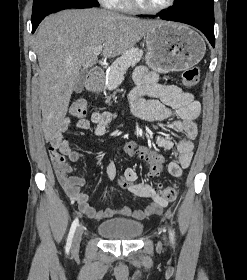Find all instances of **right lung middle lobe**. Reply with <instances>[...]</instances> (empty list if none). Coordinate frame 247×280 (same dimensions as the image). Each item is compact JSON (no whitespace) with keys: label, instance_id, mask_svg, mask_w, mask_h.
I'll list each match as a JSON object with an SVG mask.
<instances>
[{"label":"right lung middle lobe","instance_id":"obj_1","mask_svg":"<svg viewBox=\"0 0 247 280\" xmlns=\"http://www.w3.org/2000/svg\"><path fill=\"white\" fill-rule=\"evenodd\" d=\"M69 4H87L98 7L97 0H34L32 11V22L43 19L56 8Z\"/></svg>","mask_w":247,"mask_h":280}]
</instances>
